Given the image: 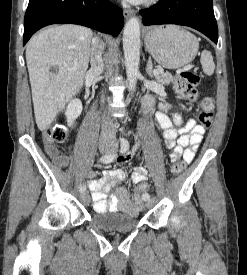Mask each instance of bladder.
<instances>
[{
    "label": "bladder",
    "mask_w": 247,
    "mask_h": 275,
    "mask_svg": "<svg viewBox=\"0 0 247 275\" xmlns=\"http://www.w3.org/2000/svg\"><path fill=\"white\" fill-rule=\"evenodd\" d=\"M92 221L98 228L105 231L128 232L138 225L139 218L120 212L105 211L94 214Z\"/></svg>",
    "instance_id": "31cf9c89"
}]
</instances>
